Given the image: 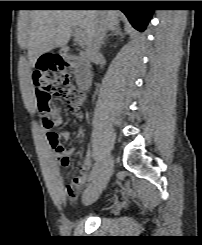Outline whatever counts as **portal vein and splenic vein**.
<instances>
[{
    "label": "portal vein and splenic vein",
    "instance_id": "1",
    "mask_svg": "<svg viewBox=\"0 0 202 245\" xmlns=\"http://www.w3.org/2000/svg\"><path fill=\"white\" fill-rule=\"evenodd\" d=\"M75 40L77 41L78 44H83L85 41V34L79 28H75Z\"/></svg>",
    "mask_w": 202,
    "mask_h": 245
}]
</instances>
